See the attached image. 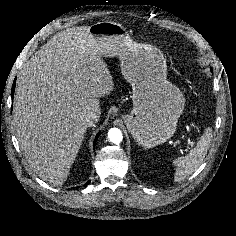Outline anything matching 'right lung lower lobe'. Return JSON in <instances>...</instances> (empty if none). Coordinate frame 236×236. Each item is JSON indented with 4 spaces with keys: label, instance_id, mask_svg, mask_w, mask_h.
Listing matches in <instances>:
<instances>
[{
    "label": "right lung lower lobe",
    "instance_id": "1",
    "mask_svg": "<svg viewBox=\"0 0 236 236\" xmlns=\"http://www.w3.org/2000/svg\"><path fill=\"white\" fill-rule=\"evenodd\" d=\"M15 85H16V80H14L13 86H12V90H11V96H12V98H13V95H14ZM99 134H100V133H99ZM99 134L96 136V138H95V140H94V144L96 143ZM87 184H88V182H87L84 186H86Z\"/></svg>",
    "mask_w": 236,
    "mask_h": 236
}]
</instances>
